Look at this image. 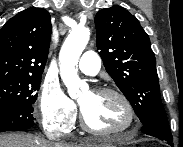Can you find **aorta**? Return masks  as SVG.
Wrapping results in <instances>:
<instances>
[{"instance_id":"obj_1","label":"aorta","mask_w":183,"mask_h":147,"mask_svg":"<svg viewBox=\"0 0 183 147\" xmlns=\"http://www.w3.org/2000/svg\"><path fill=\"white\" fill-rule=\"evenodd\" d=\"M89 38V28L81 26L73 28L65 39L59 54L60 75L69 96L74 99L79 97L82 90L88 88L86 82L78 76L77 64Z\"/></svg>"}]
</instances>
